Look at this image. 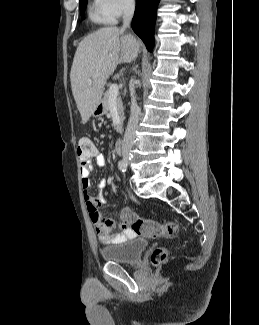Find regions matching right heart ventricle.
Returning a JSON list of instances; mask_svg holds the SVG:
<instances>
[{
    "mask_svg": "<svg viewBox=\"0 0 259 325\" xmlns=\"http://www.w3.org/2000/svg\"><path fill=\"white\" fill-rule=\"evenodd\" d=\"M88 17L96 24H112L115 19L104 10L101 0H92L88 6Z\"/></svg>",
    "mask_w": 259,
    "mask_h": 325,
    "instance_id": "right-heart-ventricle-1",
    "label": "right heart ventricle"
}]
</instances>
